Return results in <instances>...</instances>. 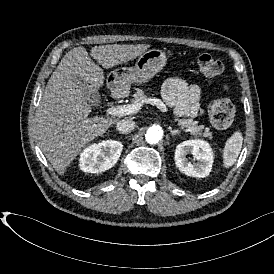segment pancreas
I'll return each instance as SVG.
<instances>
[{
    "label": "pancreas",
    "instance_id": "cf45deb5",
    "mask_svg": "<svg viewBox=\"0 0 274 274\" xmlns=\"http://www.w3.org/2000/svg\"><path fill=\"white\" fill-rule=\"evenodd\" d=\"M146 99V95L144 94L143 90L137 89L136 93L133 95L132 102L135 104L137 102H141L142 100ZM177 124L183 129L185 132H189L191 135L194 136H203L212 138V133L208 127H204V125H198L197 122L193 121V119H175Z\"/></svg>",
    "mask_w": 274,
    "mask_h": 274
}]
</instances>
